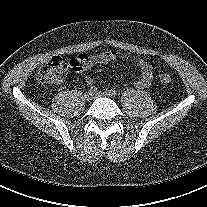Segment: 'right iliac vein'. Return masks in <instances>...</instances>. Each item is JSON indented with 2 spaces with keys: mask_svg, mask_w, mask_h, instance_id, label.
<instances>
[{
  "mask_svg": "<svg viewBox=\"0 0 207 207\" xmlns=\"http://www.w3.org/2000/svg\"><path fill=\"white\" fill-rule=\"evenodd\" d=\"M84 98L87 100V101H91L93 98H94V95L93 93H91L90 91L86 92L84 94Z\"/></svg>",
  "mask_w": 207,
  "mask_h": 207,
  "instance_id": "63e3f726",
  "label": "right iliac vein"
}]
</instances>
